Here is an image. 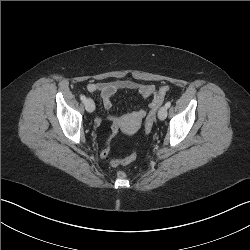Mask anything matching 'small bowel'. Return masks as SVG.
Instances as JSON below:
<instances>
[{
  "label": "small bowel",
  "instance_id": "c3829d8e",
  "mask_svg": "<svg viewBox=\"0 0 250 250\" xmlns=\"http://www.w3.org/2000/svg\"><path fill=\"white\" fill-rule=\"evenodd\" d=\"M86 88L89 92L98 94L101 97L105 109L112 107L113 96L119 91H134L143 98L153 97L156 92L153 85L141 84L132 80H115L104 83L91 82L87 84ZM145 115L146 111L144 109H138L121 117L111 116L110 119L112 122L116 121L120 125L125 120L139 122ZM100 122L101 119L97 118L96 123L100 124Z\"/></svg>",
  "mask_w": 250,
  "mask_h": 250
}]
</instances>
